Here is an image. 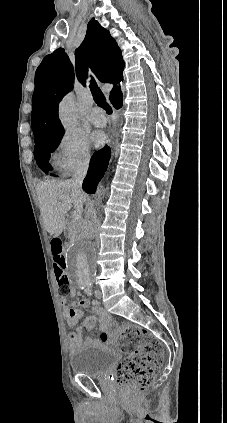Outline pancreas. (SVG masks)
Wrapping results in <instances>:
<instances>
[{
  "mask_svg": "<svg viewBox=\"0 0 227 423\" xmlns=\"http://www.w3.org/2000/svg\"><path fill=\"white\" fill-rule=\"evenodd\" d=\"M70 227L72 231L71 241H74V239H77V237L83 235L86 223L85 221H83V219H76V221H73V223H71Z\"/></svg>",
  "mask_w": 227,
  "mask_h": 423,
  "instance_id": "obj_1",
  "label": "pancreas"
}]
</instances>
